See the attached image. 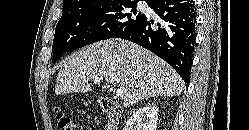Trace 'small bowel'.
<instances>
[{"label": "small bowel", "instance_id": "obj_1", "mask_svg": "<svg viewBox=\"0 0 249 130\" xmlns=\"http://www.w3.org/2000/svg\"><path fill=\"white\" fill-rule=\"evenodd\" d=\"M86 130H93L92 128H88V129H86Z\"/></svg>", "mask_w": 249, "mask_h": 130}]
</instances>
